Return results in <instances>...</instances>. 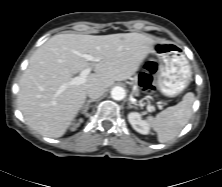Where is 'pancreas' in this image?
I'll list each match as a JSON object with an SVG mask.
<instances>
[{"label":"pancreas","mask_w":222,"mask_h":187,"mask_svg":"<svg viewBox=\"0 0 222 187\" xmlns=\"http://www.w3.org/2000/svg\"><path fill=\"white\" fill-rule=\"evenodd\" d=\"M135 93H136V95H138V91H136Z\"/></svg>","instance_id":"obj_1"}]
</instances>
